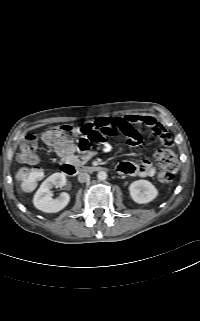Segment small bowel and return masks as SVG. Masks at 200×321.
Instances as JSON below:
<instances>
[{"label":"small bowel","instance_id":"obj_1","mask_svg":"<svg viewBox=\"0 0 200 321\" xmlns=\"http://www.w3.org/2000/svg\"><path fill=\"white\" fill-rule=\"evenodd\" d=\"M86 125L98 130L107 129L110 134L125 139L127 144L130 146H137L141 141L139 127H147L150 130L151 135L155 138H158L165 147L164 150H159L155 153V158L163 151L170 149L173 144L172 138L169 133L159 122L156 121L154 117L149 115L131 114L123 117H101ZM111 149L112 147L109 143L104 142L102 144V152L108 153L111 151ZM60 154L69 164H82L92 158L94 155L93 152H88L82 156H76L70 151H60ZM117 171L123 175L140 177L153 176L156 172L153 163L148 159H145L140 163L122 161L117 165Z\"/></svg>","mask_w":200,"mask_h":321}]
</instances>
